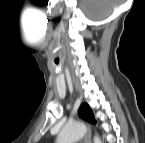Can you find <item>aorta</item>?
<instances>
[{"instance_id":"obj_1","label":"aorta","mask_w":145,"mask_h":143,"mask_svg":"<svg viewBox=\"0 0 145 143\" xmlns=\"http://www.w3.org/2000/svg\"><path fill=\"white\" fill-rule=\"evenodd\" d=\"M86 132V126L80 121L66 124L58 135L59 143H75L81 139ZM94 143H101L98 136L94 137Z\"/></svg>"}]
</instances>
